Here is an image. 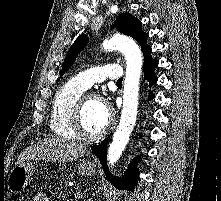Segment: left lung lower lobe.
<instances>
[{
    "mask_svg": "<svg viewBox=\"0 0 221 201\" xmlns=\"http://www.w3.org/2000/svg\"><path fill=\"white\" fill-rule=\"evenodd\" d=\"M158 66V61L154 59H149L147 62L144 63V75L145 78L148 79L150 87L155 84L158 80L157 76L154 73V69ZM154 95L150 93L149 100H152ZM91 150L97 155L99 160L102 163V166L105 170L110 181L119 189L134 191V187L137 183L138 170L136 169V163L140 160V157L134 158L132 163L129 165V169L127 170L126 174L122 178H117L111 175L107 168V140H104L99 145H95L91 147Z\"/></svg>",
    "mask_w": 221,
    "mask_h": 201,
    "instance_id": "1",
    "label": "left lung lower lobe"
}]
</instances>
